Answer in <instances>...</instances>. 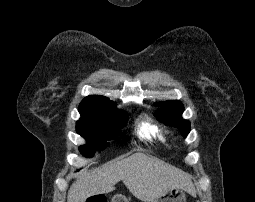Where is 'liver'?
<instances>
[{"mask_svg":"<svg viewBox=\"0 0 255 202\" xmlns=\"http://www.w3.org/2000/svg\"><path fill=\"white\" fill-rule=\"evenodd\" d=\"M119 181H123L127 189L143 202H153L172 187L195 192L191 176L187 173L158 159L136 153L77 179L68 191L67 202H85L88 197L112 192Z\"/></svg>","mask_w":255,"mask_h":202,"instance_id":"liver-1","label":"liver"}]
</instances>
